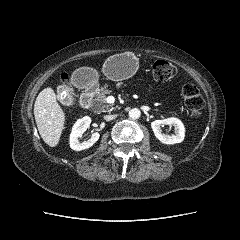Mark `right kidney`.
I'll list each match as a JSON object with an SVG mask.
<instances>
[{"label": "right kidney", "mask_w": 240, "mask_h": 240, "mask_svg": "<svg viewBox=\"0 0 240 240\" xmlns=\"http://www.w3.org/2000/svg\"><path fill=\"white\" fill-rule=\"evenodd\" d=\"M91 118L89 116L82 117L78 119L74 126L72 127V132L70 134V147L75 151H81L93 146L99 139L100 134L98 132H94L91 135V138L84 142H79V137L87 130L90 126Z\"/></svg>", "instance_id": "obj_1"}]
</instances>
